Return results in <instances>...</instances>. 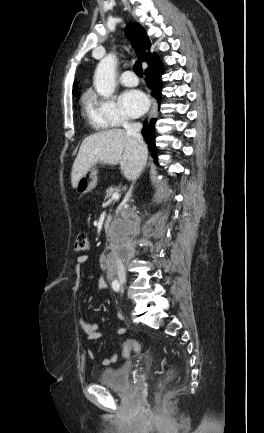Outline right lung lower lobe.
<instances>
[{
	"mask_svg": "<svg viewBox=\"0 0 264 433\" xmlns=\"http://www.w3.org/2000/svg\"><path fill=\"white\" fill-rule=\"evenodd\" d=\"M163 74V65L161 62L149 66L146 71H145V75H146V82L148 87L152 90V95L155 96L158 101H159V105H160V100H161V89H162V83H161V76ZM155 122L156 119L153 118L151 119L150 123L147 124L146 122L144 123V127L142 129V134L146 139V142L149 144V149L151 152L154 153V157L156 158L157 156V149L155 146Z\"/></svg>",
	"mask_w": 264,
	"mask_h": 433,
	"instance_id": "1",
	"label": "right lung lower lobe"
}]
</instances>
